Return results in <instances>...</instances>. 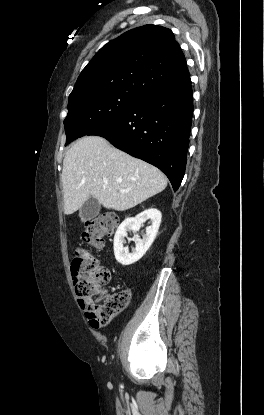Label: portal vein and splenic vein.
Here are the masks:
<instances>
[{
  "mask_svg": "<svg viewBox=\"0 0 264 415\" xmlns=\"http://www.w3.org/2000/svg\"><path fill=\"white\" fill-rule=\"evenodd\" d=\"M104 183H105V184H107L108 182H107V181H104ZM121 192L123 193V192H125V191H124V190H121Z\"/></svg>",
  "mask_w": 264,
  "mask_h": 415,
  "instance_id": "obj_1",
  "label": "portal vein and splenic vein"
}]
</instances>
